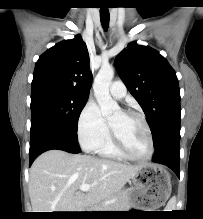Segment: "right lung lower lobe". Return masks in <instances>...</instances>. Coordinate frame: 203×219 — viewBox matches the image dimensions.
<instances>
[{"label":"right lung lower lobe","instance_id":"obj_1","mask_svg":"<svg viewBox=\"0 0 203 219\" xmlns=\"http://www.w3.org/2000/svg\"><path fill=\"white\" fill-rule=\"evenodd\" d=\"M59 149L70 153H79L80 149L77 143L71 139L57 135L56 133L39 128L31 132L29 163H33L35 158L41 153L51 150Z\"/></svg>","mask_w":203,"mask_h":219}]
</instances>
